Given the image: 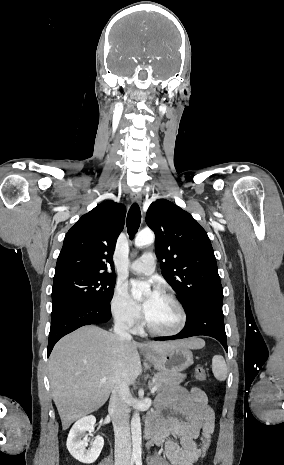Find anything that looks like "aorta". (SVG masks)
Here are the masks:
<instances>
[{"instance_id":"762f6f07","label":"aorta","mask_w":284,"mask_h":465,"mask_svg":"<svg viewBox=\"0 0 284 465\" xmlns=\"http://www.w3.org/2000/svg\"><path fill=\"white\" fill-rule=\"evenodd\" d=\"M154 242V234L150 230H143L138 233L135 238V246L142 247ZM131 433H132V456L134 459H140L142 454V433H141V420L139 412L136 411L131 419Z\"/></svg>"}]
</instances>
